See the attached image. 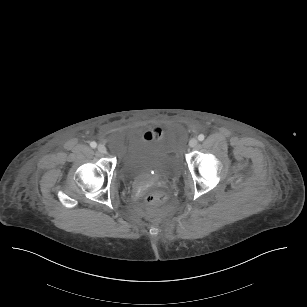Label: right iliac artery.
I'll return each instance as SVG.
<instances>
[{"label":"right iliac artery","mask_w":307,"mask_h":307,"mask_svg":"<svg viewBox=\"0 0 307 307\" xmlns=\"http://www.w3.org/2000/svg\"><path fill=\"white\" fill-rule=\"evenodd\" d=\"M90 146H91L92 148H96L97 143H96L95 141H93V142L90 143Z\"/></svg>","instance_id":"82829eb1"}]
</instances>
